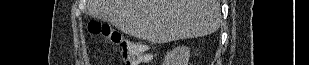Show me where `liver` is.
I'll list each match as a JSON object with an SVG mask.
<instances>
[{
    "label": "liver",
    "instance_id": "1",
    "mask_svg": "<svg viewBox=\"0 0 309 65\" xmlns=\"http://www.w3.org/2000/svg\"><path fill=\"white\" fill-rule=\"evenodd\" d=\"M88 13L153 43L210 35L221 23L219 0H88Z\"/></svg>",
    "mask_w": 309,
    "mask_h": 65
}]
</instances>
